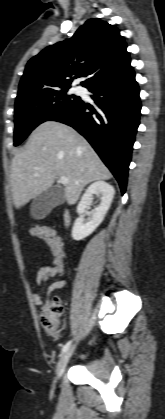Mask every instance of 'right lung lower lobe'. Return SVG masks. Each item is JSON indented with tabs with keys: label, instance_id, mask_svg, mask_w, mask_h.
Returning <instances> with one entry per match:
<instances>
[{
	"label": "right lung lower lobe",
	"instance_id": "obj_1",
	"mask_svg": "<svg viewBox=\"0 0 165 419\" xmlns=\"http://www.w3.org/2000/svg\"><path fill=\"white\" fill-rule=\"evenodd\" d=\"M88 90L97 109L80 100L71 109L49 120L67 124L83 135L113 173L124 193L141 110L139 88L130 62L89 86Z\"/></svg>",
	"mask_w": 165,
	"mask_h": 419
}]
</instances>
